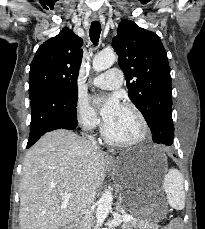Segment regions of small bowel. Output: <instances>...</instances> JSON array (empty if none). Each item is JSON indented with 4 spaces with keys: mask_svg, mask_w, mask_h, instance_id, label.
Returning <instances> with one entry per match:
<instances>
[{
    "mask_svg": "<svg viewBox=\"0 0 205 229\" xmlns=\"http://www.w3.org/2000/svg\"><path fill=\"white\" fill-rule=\"evenodd\" d=\"M164 229H181V223L179 221H174Z\"/></svg>",
    "mask_w": 205,
    "mask_h": 229,
    "instance_id": "small-bowel-1",
    "label": "small bowel"
}]
</instances>
